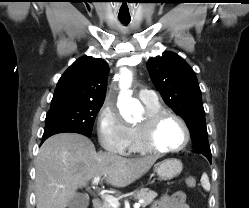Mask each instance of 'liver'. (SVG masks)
<instances>
[{
  "mask_svg": "<svg viewBox=\"0 0 249 208\" xmlns=\"http://www.w3.org/2000/svg\"><path fill=\"white\" fill-rule=\"evenodd\" d=\"M157 157L127 159L96 152L92 141L77 133H59L41 146L36 159V208H66L95 177L104 176L116 187H126L142 177Z\"/></svg>",
  "mask_w": 249,
  "mask_h": 208,
  "instance_id": "obj_1",
  "label": "liver"
}]
</instances>
